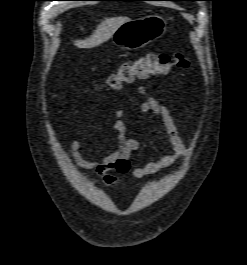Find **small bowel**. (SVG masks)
I'll use <instances>...</instances> for the list:
<instances>
[{
  "instance_id": "small-bowel-1",
  "label": "small bowel",
  "mask_w": 247,
  "mask_h": 265,
  "mask_svg": "<svg viewBox=\"0 0 247 265\" xmlns=\"http://www.w3.org/2000/svg\"><path fill=\"white\" fill-rule=\"evenodd\" d=\"M139 93L144 98L139 108L140 112L143 114L150 113L156 119L161 120L163 129L172 146V153L162 156L157 161H150L142 167L132 168L129 157L133 152L139 150L142 144L129 135L127 126L122 120L124 112L118 109L115 112L116 119L112 124V132L116 136L117 145L110 154L99 161H91L83 157V144L80 141H73L70 147L75 163L84 169L92 170L105 187L117 188L123 184L122 178L110 174L112 171L120 175L129 174L131 177L139 179L170 167L188 153L168 107L149 94L143 86L139 88Z\"/></svg>"
}]
</instances>
